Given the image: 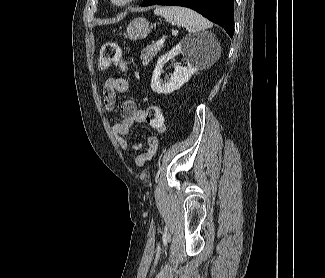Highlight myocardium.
<instances>
[{
    "label": "myocardium",
    "mask_w": 325,
    "mask_h": 278,
    "mask_svg": "<svg viewBox=\"0 0 325 278\" xmlns=\"http://www.w3.org/2000/svg\"><path fill=\"white\" fill-rule=\"evenodd\" d=\"M136 0H110L111 4L116 6V7H124Z\"/></svg>",
    "instance_id": "f54148a6"
}]
</instances>
